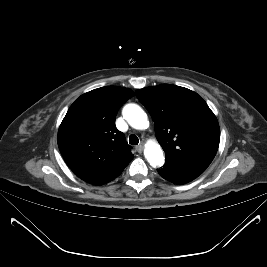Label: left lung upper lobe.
I'll return each instance as SVG.
<instances>
[{"instance_id":"obj_1","label":"left lung upper lobe","mask_w":267,"mask_h":267,"mask_svg":"<svg viewBox=\"0 0 267 267\" xmlns=\"http://www.w3.org/2000/svg\"><path fill=\"white\" fill-rule=\"evenodd\" d=\"M135 93L154 121L166 162L203 173L218 150L220 129L202 97L171 84L146 87Z\"/></svg>"}]
</instances>
